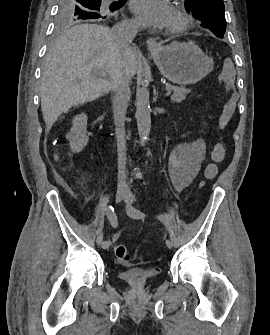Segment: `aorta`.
<instances>
[{"instance_id":"obj_1","label":"aorta","mask_w":270,"mask_h":335,"mask_svg":"<svg viewBox=\"0 0 270 335\" xmlns=\"http://www.w3.org/2000/svg\"><path fill=\"white\" fill-rule=\"evenodd\" d=\"M136 120L142 146H145L151 130L150 102L146 78H139L136 92Z\"/></svg>"}]
</instances>
